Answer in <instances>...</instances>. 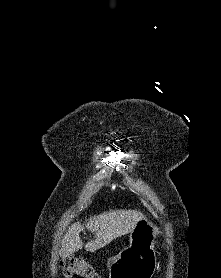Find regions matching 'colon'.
<instances>
[{
  "label": "colon",
  "mask_w": 221,
  "mask_h": 278,
  "mask_svg": "<svg viewBox=\"0 0 221 278\" xmlns=\"http://www.w3.org/2000/svg\"><path fill=\"white\" fill-rule=\"evenodd\" d=\"M62 269L66 276L76 278H101L92 267L89 260L84 258L66 257L62 260Z\"/></svg>",
  "instance_id": "obj_1"
}]
</instances>
